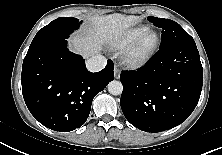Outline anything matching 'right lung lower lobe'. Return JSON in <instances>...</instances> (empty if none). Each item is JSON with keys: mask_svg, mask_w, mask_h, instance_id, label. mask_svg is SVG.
<instances>
[{"mask_svg": "<svg viewBox=\"0 0 222 155\" xmlns=\"http://www.w3.org/2000/svg\"><path fill=\"white\" fill-rule=\"evenodd\" d=\"M66 39L26 54L22 93L31 114L45 127L68 132L87 120L93 98L114 79L109 61L100 72L86 69L84 59L71 53Z\"/></svg>", "mask_w": 222, "mask_h": 155, "instance_id": "obj_1", "label": "right lung lower lobe"}]
</instances>
